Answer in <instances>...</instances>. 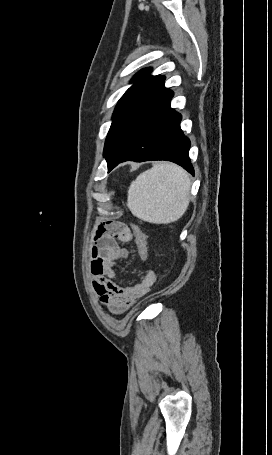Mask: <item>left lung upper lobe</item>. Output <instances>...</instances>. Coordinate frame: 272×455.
Masks as SVG:
<instances>
[{"instance_id":"5c2ea615","label":"left lung upper lobe","mask_w":272,"mask_h":455,"mask_svg":"<svg viewBox=\"0 0 272 455\" xmlns=\"http://www.w3.org/2000/svg\"><path fill=\"white\" fill-rule=\"evenodd\" d=\"M150 73L151 68L139 71L131 81L134 84L118 101L113 113V121L105 141L104 157L111 149L121 130L131 118L154 97L166 89L164 87L165 77L161 75L151 76L149 75Z\"/></svg>"}]
</instances>
